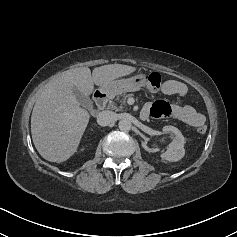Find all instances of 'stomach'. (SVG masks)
Returning <instances> with one entry per match:
<instances>
[{"label": "stomach", "instance_id": "1", "mask_svg": "<svg viewBox=\"0 0 237 237\" xmlns=\"http://www.w3.org/2000/svg\"><path fill=\"white\" fill-rule=\"evenodd\" d=\"M145 78L143 75H137L128 79H120L111 82L110 84L100 87V90L109 97H114L115 95L139 91L143 86Z\"/></svg>", "mask_w": 237, "mask_h": 237}]
</instances>
